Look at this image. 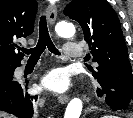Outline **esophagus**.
Returning <instances> with one entry per match:
<instances>
[{"label": "esophagus", "mask_w": 133, "mask_h": 118, "mask_svg": "<svg viewBox=\"0 0 133 118\" xmlns=\"http://www.w3.org/2000/svg\"><path fill=\"white\" fill-rule=\"evenodd\" d=\"M46 16L49 24L52 26L55 23L56 17H57V7L49 5L46 9ZM70 97L68 95H59L58 101L61 104L67 103L69 101Z\"/></svg>", "instance_id": "34e87169"}]
</instances>
